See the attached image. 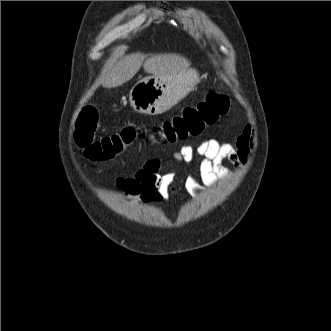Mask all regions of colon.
I'll list each match as a JSON object with an SVG mask.
<instances>
[{
  "instance_id": "colon-1",
  "label": "colon",
  "mask_w": 331,
  "mask_h": 331,
  "mask_svg": "<svg viewBox=\"0 0 331 331\" xmlns=\"http://www.w3.org/2000/svg\"><path fill=\"white\" fill-rule=\"evenodd\" d=\"M229 105L226 95L211 92L196 106L187 107L181 114L161 123L159 134L169 143L197 136L205 127L224 116L229 110ZM97 122V110L93 106H86L76 124L75 140L88 160L94 162L110 160L130 145L137 136V129L128 126L118 133L95 139Z\"/></svg>"
}]
</instances>
